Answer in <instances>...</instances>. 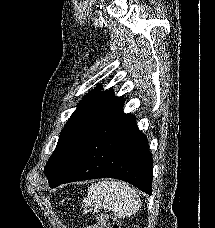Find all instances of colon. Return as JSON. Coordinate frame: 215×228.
<instances>
[{"mask_svg":"<svg viewBox=\"0 0 215 228\" xmlns=\"http://www.w3.org/2000/svg\"><path fill=\"white\" fill-rule=\"evenodd\" d=\"M88 228H95L89 225ZM96 228H118L117 221L109 214L101 213L96 218Z\"/></svg>","mask_w":215,"mask_h":228,"instance_id":"obj_1","label":"colon"}]
</instances>
